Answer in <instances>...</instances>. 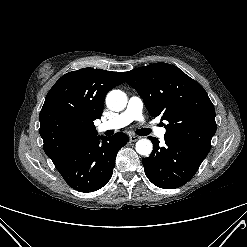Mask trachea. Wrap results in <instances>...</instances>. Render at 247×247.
Here are the masks:
<instances>
[{
  "label": "trachea",
  "instance_id": "3493384b",
  "mask_svg": "<svg viewBox=\"0 0 247 247\" xmlns=\"http://www.w3.org/2000/svg\"><path fill=\"white\" fill-rule=\"evenodd\" d=\"M150 133L149 129H138L137 134L140 136H147Z\"/></svg>",
  "mask_w": 247,
  "mask_h": 247
}]
</instances>
